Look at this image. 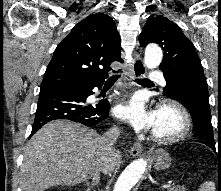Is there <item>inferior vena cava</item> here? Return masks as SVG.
Returning <instances> with one entry per match:
<instances>
[{
	"label": "inferior vena cava",
	"instance_id": "1",
	"mask_svg": "<svg viewBox=\"0 0 221 191\" xmlns=\"http://www.w3.org/2000/svg\"><path fill=\"white\" fill-rule=\"evenodd\" d=\"M119 135L120 131L117 128H112L101 138V141L104 145V157L102 159L100 170L96 171L93 174V180H95V178L99 176L100 171H102L103 173L107 171L112 158L117 155L114 144L116 143Z\"/></svg>",
	"mask_w": 221,
	"mask_h": 191
}]
</instances>
